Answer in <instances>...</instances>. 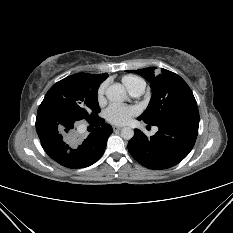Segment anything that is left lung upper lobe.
Listing matches in <instances>:
<instances>
[{
    "mask_svg": "<svg viewBox=\"0 0 233 233\" xmlns=\"http://www.w3.org/2000/svg\"><path fill=\"white\" fill-rule=\"evenodd\" d=\"M151 84L153 95L144 113L139 116L145 123L156 125L189 108L197 107L193 93L186 82L177 74L155 67L131 70Z\"/></svg>",
    "mask_w": 233,
    "mask_h": 233,
    "instance_id": "left-lung-upper-lobe-1",
    "label": "left lung upper lobe"
}]
</instances>
